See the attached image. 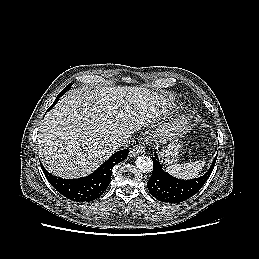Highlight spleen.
Wrapping results in <instances>:
<instances>
[{"label": "spleen", "instance_id": "3e777b00", "mask_svg": "<svg viewBox=\"0 0 259 259\" xmlns=\"http://www.w3.org/2000/svg\"><path fill=\"white\" fill-rule=\"evenodd\" d=\"M204 165L205 160H199L195 162L170 165L167 167L166 171L175 177L190 179L197 177L202 171Z\"/></svg>", "mask_w": 259, "mask_h": 259}]
</instances>
